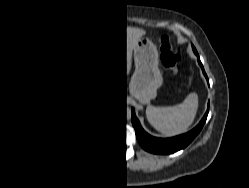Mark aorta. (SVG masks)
<instances>
[{
	"mask_svg": "<svg viewBox=\"0 0 249 188\" xmlns=\"http://www.w3.org/2000/svg\"><path fill=\"white\" fill-rule=\"evenodd\" d=\"M127 119H129L130 117H131V111H130V109L129 108H127Z\"/></svg>",
	"mask_w": 249,
	"mask_h": 188,
	"instance_id": "aorta-1",
	"label": "aorta"
}]
</instances>
